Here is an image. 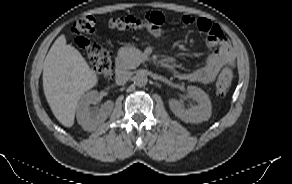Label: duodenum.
Returning <instances> with one entry per match:
<instances>
[{
  "mask_svg": "<svg viewBox=\"0 0 292 184\" xmlns=\"http://www.w3.org/2000/svg\"><path fill=\"white\" fill-rule=\"evenodd\" d=\"M115 67L117 69L118 75H121L123 73V61L120 57H117L115 59Z\"/></svg>",
  "mask_w": 292,
  "mask_h": 184,
  "instance_id": "410a0bca",
  "label": "duodenum"
}]
</instances>
